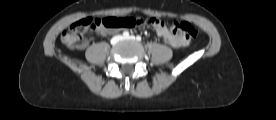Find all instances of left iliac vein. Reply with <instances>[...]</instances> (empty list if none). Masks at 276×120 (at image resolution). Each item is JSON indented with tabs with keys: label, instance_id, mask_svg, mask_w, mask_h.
<instances>
[{
	"label": "left iliac vein",
	"instance_id": "1",
	"mask_svg": "<svg viewBox=\"0 0 276 120\" xmlns=\"http://www.w3.org/2000/svg\"><path fill=\"white\" fill-rule=\"evenodd\" d=\"M125 39L135 40V37L133 35H131L128 38H125Z\"/></svg>",
	"mask_w": 276,
	"mask_h": 120
}]
</instances>
